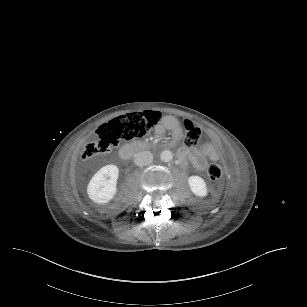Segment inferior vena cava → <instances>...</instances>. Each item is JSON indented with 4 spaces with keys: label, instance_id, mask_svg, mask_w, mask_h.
<instances>
[{
    "label": "inferior vena cava",
    "instance_id": "602c4592",
    "mask_svg": "<svg viewBox=\"0 0 307 307\" xmlns=\"http://www.w3.org/2000/svg\"><path fill=\"white\" fill-rule=\"evenodd\" d=\"M153 160V155L149 151H141L135 154L134 163L137 166L149 165Z\"/></svg>",
    "mask_w": 307,
    "mask_h": 307
}]
</instances>
